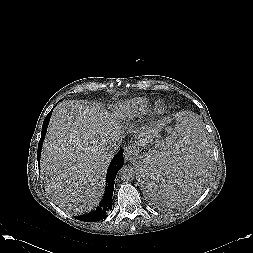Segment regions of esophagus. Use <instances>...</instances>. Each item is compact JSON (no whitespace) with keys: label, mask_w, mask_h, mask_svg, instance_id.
Listing matches in <instances>:
<instances>
[{"label":"esophagus","mask_w":253,"mask_h":253,"mask_svg":"<svg viewBox=\"0 0 253 253\" xmlns=\"http://www.w3.org/2000/svg\"><path fill=\"white\" fill-rule=\"evenodd\" d=\"M125 152H124V159L126 161H132L135 159L136 157V149L134 146H126L124 148Z\"/></svg>","instance_id":"34e87169"}]
</instances>
